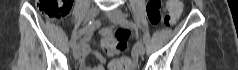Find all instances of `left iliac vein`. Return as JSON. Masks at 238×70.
<instances>
[{
    "mask_svg": "<svg viewBox=\"0 0 238 70\" xmlns=\"http://www.w3.org/2000/svg\"><path fill=\"white\" fill-rule=\"evenodd\" d=\"M107 16L113 23L124 25L125 16L120 9H114V10L108 12ZM136 51L139 55H143L145 52L144 45L140 40L137 41Z\"/></svg>",
    "mask_w": 238,
    "mask_h": 70,
    "instance_id": "obj_1",
    "label": "left iliac vein"
}]
</instances>
